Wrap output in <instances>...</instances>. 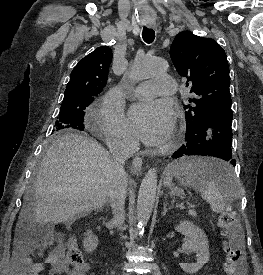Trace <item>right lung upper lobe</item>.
<instances>
[{
    "mask_svg": "<svg viewBox=\"0 0 263 275\" xmlns=\"http://www.w3.org/2000/svg\"><path fill=\"white\" fill-rule=\"evenodd\" d=\"M111 60L112 50L108 46L99 47L81 59L71 72L64 99L99 94L106 85Z\"/></svg>",
    "mask_w": 263,
    "mask_h": 275,
    "instance_id": "obj_1",
    "label": "right lung upper lobe"
}]
</instances>
